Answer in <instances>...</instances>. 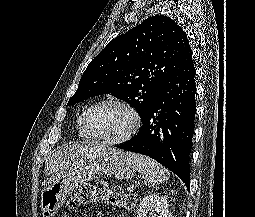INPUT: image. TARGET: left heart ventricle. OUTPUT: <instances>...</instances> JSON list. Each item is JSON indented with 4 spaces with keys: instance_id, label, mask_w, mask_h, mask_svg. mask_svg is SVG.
I'll list each match as a JSON object with an SVG mask.
<instances>
[{
    "instance_id": "1",
    "label": "left heart ventricle",
    "mask_w": 255,
    "mask_h": 217,
    "mask_svg": "<svg viewBox=\"0 0 255 217\" xmlns=\"http://www.w3.org/2000/svg\"><path fill=\"white\" fill-rule=\"evenodd\" d=\"M88 122L94 134L105 139H116L128 130L131 117L120 106L104 104L90 112Z\"/></svg>"
}]
</instances>
